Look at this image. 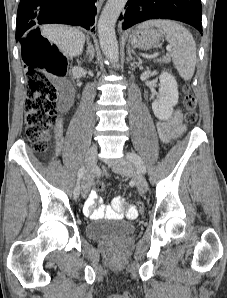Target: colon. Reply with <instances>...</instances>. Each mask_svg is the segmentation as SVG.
Wrapping results in <instances>:
<instances>
[{"label": "colon", "instance_id": "obj_1", "mask_svg": "<svg viewBox=\"0 0 227 298\" xmlns=\"http://www.w3.org/2000/svg\"><path fill=\"white\" fill-rule=\"evenodd\" d=\"M51 46L47 40L40 38L35 48L27 56V87L28 97L25 103L26 134L36 152H46L50 147L52 129L58 122L59 111L62 108L57 102L58 90L47 73H57L56 65L50 54ZM185 118L188 123L197 120V100L190 93L187 86L184 87ZM102 181H95V191L104 189ZM139 213H144V202H137ZM135 216L137 213H131Z\"/></svg>", "mask_w": 227, "mask_h": 298}]
</instances>
